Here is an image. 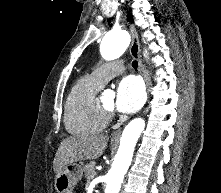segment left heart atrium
Wrapping results in <instances>:
<instances>
[{
	"label": "left heart atrium",
	"mask_w": 221,
	"mask_h": 193,
	"mask_svg": "<svg viewBox=\"0 0 221 193\" xmlns=\"http://www.w3.org/2000/svg\"><path fill=\"white\" fill-rule=\"evenodd\" d=\"M145 101V90L141 80L133 75L123 78L116 90L115 106L122 113H134Z\"/></svg>",
	"instance_id": "1"
}]
</instances>
